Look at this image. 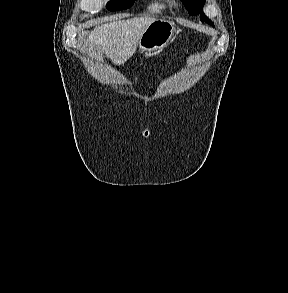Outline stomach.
I'll list each match as a JSON object with an SVG mask.
<instances>
[{"instance_id":"0dacf381","label":"stomach","mask_w":288,"mask_h":293,"mask_svg":"<svg viewBox=\"0 0 288 293\" xmlns=\"http://www.w3.org/2000/svg\"><path fill=\"white\" fill-rule=\"evenodd\" d=\"M176 27L174 23L156 19L142 34L138 48L141 52L153 53L163 50L174 38Z\"/></svg>"}]
</instances>
